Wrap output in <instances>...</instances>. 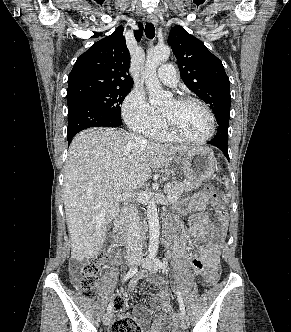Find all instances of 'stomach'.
Segmentation results:
<instances>
[{
    "instance_id": "obj_1",
    "label": "stomach",
    "mask_w": 291,
    "mask_h": 332,
    "mask_svg": "<svg viewBox=\"0 0 291 332\" xmlns=\"http://www.w3.org/2000/svg\"><path fill=\"white\" fill-rule=\"evenodd\" d=\"M184 175L193 181L209 180L217 171V160L209 147H195L183 150L175 157Z\"/></svg>"
}]
</instances>
